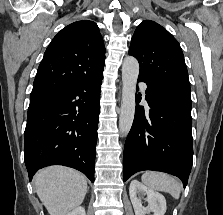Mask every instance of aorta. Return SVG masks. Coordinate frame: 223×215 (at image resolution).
<instances>
[{"mask_svg": "<svg viewBox=\"0 0 223 215\" xmlns=\"http://www.w3.org/2000/svg\"><path fill=\"white\" fill-rule=\"evenodd\" d=\"M139 64L133 56H125L122 66V100L119 117V129L122 135H127L131 129L135 113V92Z\"/></svg>", "mask_w": 223, "mask_h": 215, "instance_id": "obj_1", "label": "aorta"}]
</instances>
